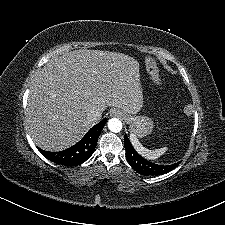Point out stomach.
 <instances>
[{"label":"stomach","instance_id":"stomach-1","mask_svg":"<svg viewBox=\"0 0 225 225\" xmlns=\"http://www.w3.org/2000/svg\"><path fill=\"white\" fill-rule=\"evenodd\" d=\"M124 119L130 125V131L138 137H144L153 130V122L149 117L133 115L122 111Z\"/></svg>","mask_w":225,"mask_h":225}]
</instances>
